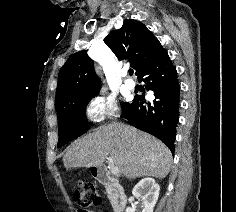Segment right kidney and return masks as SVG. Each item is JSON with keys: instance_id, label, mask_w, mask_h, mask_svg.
<instances>
[{"instance_id": "1", "label": "right kidney", "mask_w": 236, "mask_h": 212, "mask_svg": "<svg viewBox=\"0 0 236 212\" xmlns=\"http://www.w3.org/2000/svg\"><path fill=\"white\" fill-rule=\"evenodd\" d=\"M160 186L153 178H144L139 181L132 190L133 197L129 198L132 202L134 197L141 198L144 204L142 212H153L155 204L159 197ZM126 212H134L131 207L126 208Z\"/></svg>"}]
</instances>
